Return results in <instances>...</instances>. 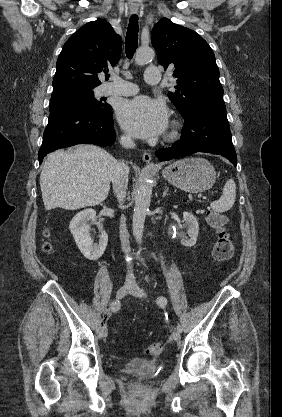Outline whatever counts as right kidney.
Here are the masks:
<instances>
[{
	"label": "right kidney",
	"instance_id": "ca27d5eb",
	"mask_svg": "<svg viewBox=\"0 0 282 417\" xmlns=\"http://www.w3.org/2000/svg\"><path fill=\"white\" fill-rule=\"evenodd\" d=\"M95 217L96 211L94 209H85V211L77 213L69 225L70 233L73 235L79 251L89 261H98L102 257L108 243L106 231H101L99 245H93L88 221H93Z\"/></svg>",
	"mask_w": 282,
	"mask_h": 417
}]
</instances>
